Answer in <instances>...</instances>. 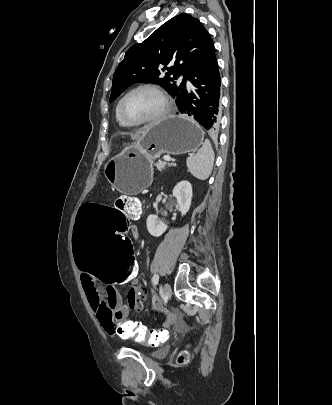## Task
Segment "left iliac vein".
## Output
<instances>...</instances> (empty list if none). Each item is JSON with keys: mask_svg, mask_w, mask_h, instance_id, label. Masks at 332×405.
<instances>
[{"mask_svg": "<svg viewBox=\"0 0 332 405\" xmlns=\"http://www.w3.org/2000/svg\"><path fill=\"white\" fill-rule=\"evenodd\" d=\"M163 294L166 299H169L171 297L172 290H171V286L169 283H165V285L163 287Z\"/></svg>", "mask_w": 332, "mask_h": 405, "instance_id": "left-iliac-vein-1", "label": "left iliac vein"}]
</instances>
